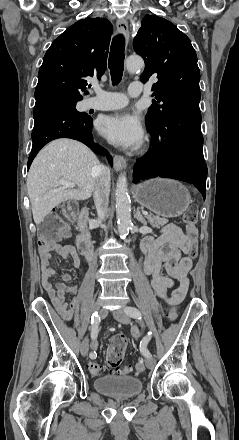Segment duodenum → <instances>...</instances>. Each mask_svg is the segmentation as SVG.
<instances>
[{
    "label": "duodenum",
    "mask_w": 239,
    "mask_h": 440,
    "mask_svg": "<svg viewBox=\"0 0 239 440\" xmlns=\"http://www.w3.org/2000/svg\"><path fill=\"white\" fill-rule=\"evenodd\" d=\"M88 219V209L82 208L78 216L79 234L77 236V247L80 253L90 260L93 255V244L88 230Z\"/></svg>",
    "instance_id": "1"
}]
</instances>
